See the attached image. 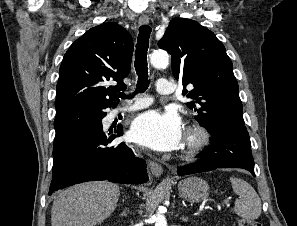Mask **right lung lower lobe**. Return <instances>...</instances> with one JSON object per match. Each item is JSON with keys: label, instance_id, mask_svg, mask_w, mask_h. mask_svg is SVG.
<instances>
[{"label": "right lung lower lobe", "instance_id": "right-lung-lower-lobe-1", "mask_svg": "<svg viewBox=\"0 0 297 226\" xmlns=\"http://www.w3.org/2000/svg\"><path fill=\"white\" fill-rule=\"evenodd\" d=\"M107 107L112 106L86 104L56 114L49 195L85 181L141 184L148 180L145 161L134 156L129 144L112 145L123 134L122 127L113 134L103 132Z\"/></svg>", "mask_w": 297, "mask_h": 226}]
</instances>
